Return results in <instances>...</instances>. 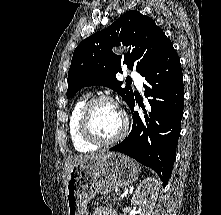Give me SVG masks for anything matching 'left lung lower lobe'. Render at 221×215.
<instances>
[{
    "label": "left lung lower lobe",
    "instance_id": "1",
    "mask_svg": "<svg viewBox=\"0 0 221 215\" xmlns=\"http://www.w3.org/2000/svg\"><path fill=\"white\" fill-rule=\"evenodd\" d=\"M143 77L147 106L136 97L128 105L133 115L129 135L111 151L124 153L156 171L163 185L171 176L184 106L180 59L169 44L155 65ZM135 101L143 112H135Z\"/></svg>",
    "mask_w": 221,
    "mask_h": 215
}]
</instances>
